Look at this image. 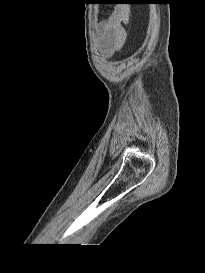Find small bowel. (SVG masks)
<instances>
[{"instance_id": "1", "label": "small bowel", "mask_w": 205, "mask_h": 273, "mask_svg": "<svg viewBox=\"0 0 205 273\" xmlns=\"http://www.w3.org/2000/svg\"><path fill=\"white\" fill-rule=\"evenodd\" d=\"M127 21V12L115 9L101 24L98 33L100 39V52L103 56L110 57L123 46L126 39L124 25Z\"/></svg>"}]
</instances>
